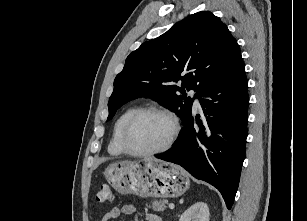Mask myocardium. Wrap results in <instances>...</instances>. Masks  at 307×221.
I'll return each mask as SVG.
<instances>
[{
  "label": "myocardium",
  "mask_w": 307,
  "mask_h": 221,
  "mask_svg": "<svg viewBox=\"0 0 307 221\" xmlns=\"http://www.w3.org/2000/svg\"><path fill=\"white\" fill-rule=\"evenodd\" d=\"M147 114H159V115H162L168 118L172 125V131H171L170 136L168 137V139L162 146L156 149L147 150V151L137 150L131 146L130 141H129V136H130V133L134 125L143 116ZM179 131H180L179 120L174 113H172L171 111L167 109L161 108V107H154V106L144 107V108L139 109L137 112H135L125 123L122 133H121L120 143H121L123 150L130 155L141 156V157L153 156V155H156V154H159V153H162L168 150L172 146L174 141L176 140L179 134Z\"/></svg>",
  "instance_id": "1"
}]
</instances>
